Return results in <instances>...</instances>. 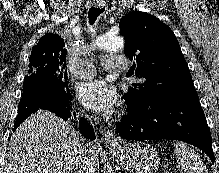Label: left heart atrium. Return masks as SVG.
<instances>
[{
    "instance_id": "obj_1",
    "label": "left heart atrium",
    "mask_w": 219,
    "mask_h": 173,
    "mask_svg": "<svg viewBox=\"0 0 219 173\" xmlns=\"http://www.w3.org/2000/svg\"><path fill=\"white\" fill-rule=\"evenodd\" d=\"M77 96L85 107L106 115L112 114L118 106L116 90L104 80H90L79 84Z\"/></svg>"
}]
</instances>
